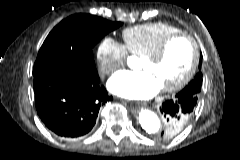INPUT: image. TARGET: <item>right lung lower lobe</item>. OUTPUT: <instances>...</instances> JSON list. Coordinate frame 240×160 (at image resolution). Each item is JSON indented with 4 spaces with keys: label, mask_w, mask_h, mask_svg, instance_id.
<instances>
[{
    "label": "right lung lower lobe",
    "mask_w": 240,
    "mask_h": 160,
    "mask_svg": "<svg viewBox=\"0 0 240 160\" xmlns=\"http://www.w3.org/2000/svg\"><path fill=\"white\" fill-rule=\"evenodd\" d=\"M37 113L45 126L64 138L88 134L100 106L112 99L100 84L97 70L79 73L54 65L34 76Z\"/></svg>",
    "instance_id": "98d812e1"
}]
</instances>
